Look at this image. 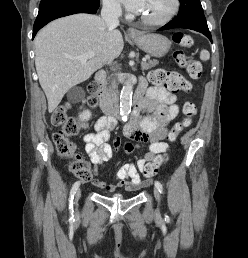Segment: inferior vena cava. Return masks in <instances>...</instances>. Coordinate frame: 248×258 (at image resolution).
<instances>
[{"label": "inferior vena cava", "instance_id": "602c4592", "mask_svg": "<svg viewBox=\"0 0 248 258\" xmlns=\"http://www.w3.org/2000/svg\"><path fill=\"white\" fill-rule=\"evenodd\" d=\"M121 15V8L119 5L105 1L101 10V18L105 21L107 28L115 29L119 25V16Z\"/></svg>", "mask_w": 248, "mask_h": 258}]
</instances>
